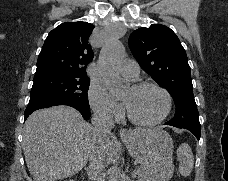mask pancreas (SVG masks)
<instances>
[{"label": "pancreas", "instance_id": "1", "mask_svg": "<svg viewBox=\"0 0 228 181\" xmlns=\"http://www.w3.org/2000/svg\"><path fill=\"white\" fill-rule=\"evenodd\" d=\"M145 173H147L146 169H141V167H140L139 172H138V175H139V179H141V181H144V179H145V177H144Z\"/></svg>", "mask_w": 228, "mask_h": 181}]
</instances>
